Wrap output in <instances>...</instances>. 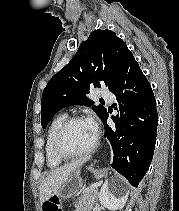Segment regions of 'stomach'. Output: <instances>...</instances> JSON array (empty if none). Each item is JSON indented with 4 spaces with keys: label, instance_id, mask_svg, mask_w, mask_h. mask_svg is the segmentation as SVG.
<instances>
[{
    "label": "stomach",
    "instance_id": "0dacf381",
    "mask_svg": "<svg viewBox=\"0 0 179 211\" xmlns=\"http://www.w3.org/2000/svg\"><path fill=\"white\" fill-rule=\"evenodd\" d=\"M83 188V179L80 176V170L73 172L61 186L59 191L52 197L58 200H66L74 197ZM50 197V198H52Z\"/></svg>",
    "mask_w": 179,
    "mask_h": 211
}]
</instances>
